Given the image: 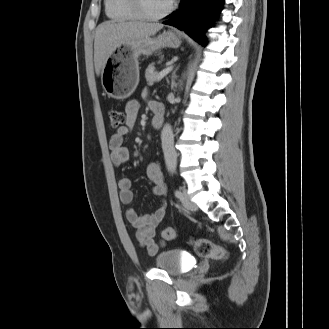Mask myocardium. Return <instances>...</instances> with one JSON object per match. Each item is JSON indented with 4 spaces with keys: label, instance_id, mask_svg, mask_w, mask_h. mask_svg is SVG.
I'll return each instance as SVG.
<instances>
[{
    "label": "myocardium",
    "instance_id": "1",
    "mask_svg": "<svg viewBox=\"0 0 329 329\" xmlns=\"http://www.w3.org/2000/svg\"><path fill=\"white\" fill-rule=\"evenodd\" d=\"M132 10L134 13L137 15V18L143 21H148V22H154V21H159L166 16H168L174 9V2L171 1L170 5L161 13L151 15L146 13L142 6L141 0H128Z\"/></svg>",
    "mask_w": 329,
    "mask_h": 329
}]
</instances>
